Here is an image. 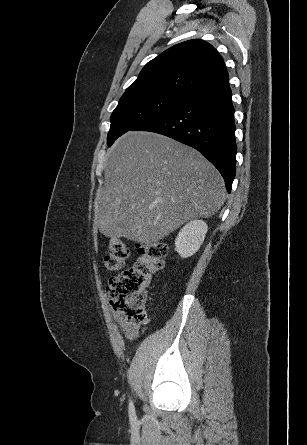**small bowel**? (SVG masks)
Here are the masks:
<instances>
[{
    "label": "small bowel",
    "instance_id": "1",
    "mask_svg": "<svg viewBox=\"0 0 307 445\" xmlns=\"http://www.w3.org/2000/svg\"><path fill=\"white\" fill-rule=\"evenodd\" d=\"M116 324L122 329L124 335L129 339H135L139 333V326L125 321L118 312H113Z\"/></svg>",
    "mask_w": 307,
    "mask_h": 445
}]
</instances>
